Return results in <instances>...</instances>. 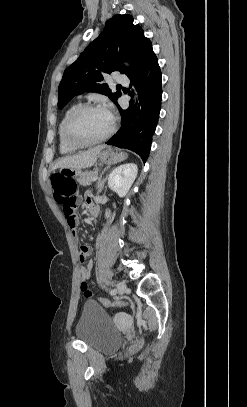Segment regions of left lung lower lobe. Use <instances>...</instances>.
<instances>
[{
    "label": "left lung lower lobe",
    "instance_id": "left-lung-lower-lobe-1",
    "mask_svg": "<svg viewBox=\"0 0 247 407\" xmlns=\"http://www.w3.org/2000/svg\"><path fill=\"white\" fill-rule=\"evenodd\" d=\"M135 75L137 81L133 73L128 77L139 91V102L135 105L130 102V107L126 110L117 105L123 122L122 127L107 144L132 150L146 161L162 100L161 70L153 50L137 67Z\"/></svg>",
    "mask_w": 247,
    "mask_h": 407
}]
</instances>
